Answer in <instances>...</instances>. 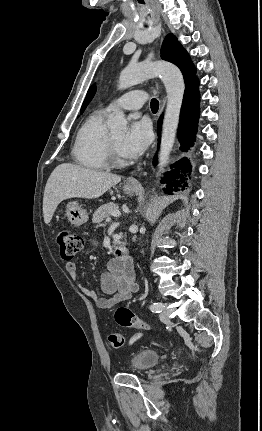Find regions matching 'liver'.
Instances as JSON below:
<instances>
[{"label": "liver", "instance_id": "1", "mask_svg": "<svg viewBox=\"0 0 262 431\" xmlns=\"http://www.w3.org/2000/svg\"><path fill=\"white\" fill-rule=\"evenodd\" d=\"M121 181L119 175L62 163L51 173L43 197V217L49 224L59 203L69 198L93 199Z\"/></svg>", "mask_w": 262, "mask_h": 431}]
</instances>
